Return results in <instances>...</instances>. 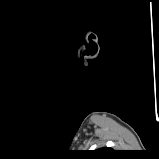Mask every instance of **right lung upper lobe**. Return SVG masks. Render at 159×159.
<instances>
[{"label": "right lung upper lobe", "mask_w": 159, "mask_h": 159, "mask_svg": "<svg viewBox=\"0 0 159 159\" xmlns=\"http://www.w3.org/2000/svg\"><path fill=\"white\" fill-rule=\"evenodd\" d=\"M105 149H107V148H102V149H99V150H105Z\"/></svg>", "instance_id": "right-lung-upper-lobe-1"}]
</instances>
